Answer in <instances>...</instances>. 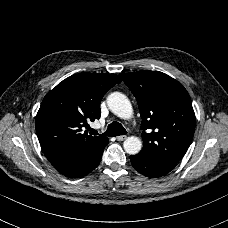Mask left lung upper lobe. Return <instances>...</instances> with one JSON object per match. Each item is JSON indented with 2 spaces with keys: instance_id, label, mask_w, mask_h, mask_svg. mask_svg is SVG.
Segmentation results:
<instances>
[{
  "instance_id": "left-lung-upper-lobe-1",
  "label": "left lung upper lobe",
  "mask_w": 228,
  "mask_h": 228,
  "mask_svg": "<svg viewBox=\"0 0 228 228\" xmlns=\"http://www.w3.org/2000/svg\"><path fill=\"white\" fill-rule=\"evenodd\" d=\"M138 102L143 148L140 155L160 162L185 155L195 131L191 98L177 80L159 71L121 73Z\"/></svg>"
}]
</instances>
